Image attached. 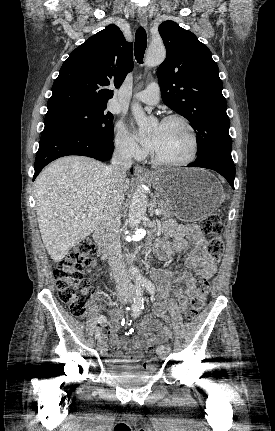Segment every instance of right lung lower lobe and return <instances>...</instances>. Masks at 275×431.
Listing matches in <instances>:
<instances>
[{
  "label": "right lung lower lobe",
  "instance_id": "right-lung-lower-lobe-1",
  "mask_svg": "<svg viewBox=\"0 0 275 431\" xmlns=\"http://www.w3.org/2000/svg\"><path fill=\"white\" fill-rule=\"evenodd\" d=\"M113 151V140L101 136L68 129L43 131L35 159L33 181L48 163L59 157L82 155L106 161L111 158Z\"/></svg>",
  "mask_w": 275,
  "mask_h": 431
}]
</instances>
